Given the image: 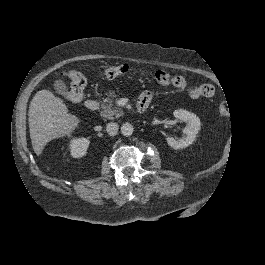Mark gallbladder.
Instances as JSON below:
<instances>
[{
	"mask_svg": "<svg viewBox=\"0 0 265 265\" xmlns=\"http://www.w3.org/2000/svg\"><path fill=\"white\" fill-rule=\"evenodd\" d=\"M54 89L56 90L57 93L62 94L65 97H68L67 87L62 80L55 81Z\"/></svg>",
	"mask_w": 265,
	"mask_h": 265,
	"instance_id": "gallbladder-1",
	"label": "gallbladder"
}]
</instances>
